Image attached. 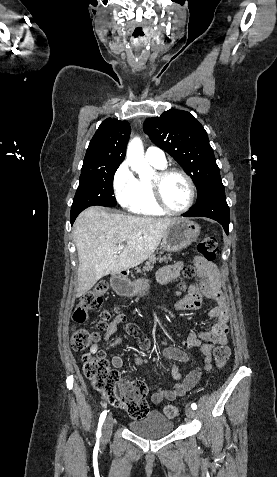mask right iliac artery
Wrapping results in <instances>:
<instances>
[{
    "label": "right iliac artery",
    "mask_w": 277,
    "mask_h": 477,
    "mask_svg": "<svg viewBox=\"0 0 277 477\" xmlns=\"http://www.w3.org/2000/svg\"><path fill=\"white\" fill-rule=\"evenodd\" d=\"M106 415H107V411H103L100 415V418H99V424H98V430H97V433H96V436L97 438H100L101 437V427H102V424L106 418Z\"/></svg>",
    "instance_id": "1"
}]
</instances>
